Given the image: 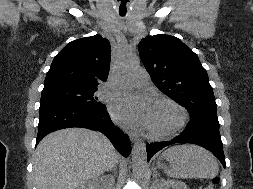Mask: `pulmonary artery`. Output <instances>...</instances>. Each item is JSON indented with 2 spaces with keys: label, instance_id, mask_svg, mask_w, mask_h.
<instances>
[{
  "label": "pulmonary artery",
  "instance_id": "obj_1",
  "mask_svg": "<svg viewBox=\"0 0 253 189\" xmlns=\"http://www.w3.org/2000/svg\"><path fill=\"white\" fill-rule=\"evenodd\" d=\"M136 83L140 86H145L148 84L147 75L143 72H134L126 77H124L121 81V85H129Z\"/></svg>",
  "mask_w": 253,
  "mask_h": 189
}]
</instances>
